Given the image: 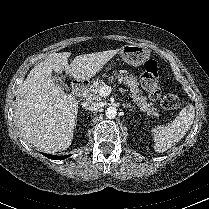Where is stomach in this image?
<instances>
[{"label": "stomach", "mask_w": 209, "mask_h": 209, "mask_svg": "<svg viewBox=\"0 0 209 209\" xmlns=\"http://www.w3.org/2000/svg\"><path fill=\"white\" fill-rule=\"evenodd\" d=\"M120 55L127 64L140 66L149 59L150 50L140 44H129L120 49Z\"/></svg>", "instance_id": "stomach-1"}]
</instances>
